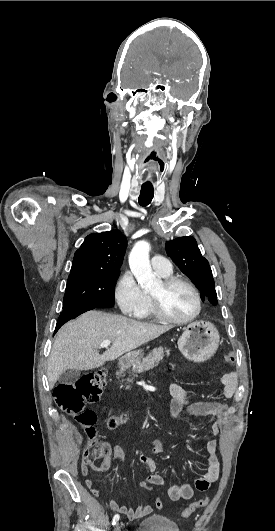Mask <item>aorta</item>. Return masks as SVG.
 I'll list each match as a JSON object with an SVG mask.
<instances>
[{
  "label": "aorta",
  "mask_w": 275,
  "mask_h": 531,
  "mask_svg": "<svg viewBox=\"0 0 275 531\" xmlns=\"http://www.w3.org/2000/svg\"><path fill=\"white\" fill-rule=\"evenodd\" d=\"M150 249L151 247L147 241H138L129 255L131 273H133L143 291L160 289L162 285L161 279H156V275H153L149 261Z\"/></svg>",
  "instance_id": "762f6f07"
}]
</instances>
